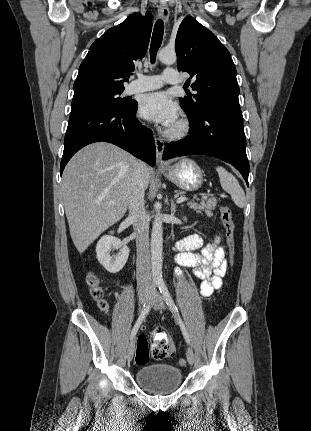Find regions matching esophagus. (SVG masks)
I'll use <instances>...</instances> for the list:
<instances>
[{
  "mask_svg": "<svg viewBox=\"0 0 311 431\" xmlns=\"http://www.w3.org/2000/svg\"><path fill=\"white\" fill-rule=\"evenodd\" d=\"M158 13H159V16L162 18V20H164V22L167 23L170 15L168 6L165 4H161L158 7ZM154 140H155V146H156V163L158 167H161L164 164L162 160V156H163L165 143L162 138H159L157 136H154Z\"/></svg>",
  "mask_w": 311,
  "mask_h": 431,
  "instance_id": "esophagus-1",
  "label": "esophagus"
}]
</instances>
